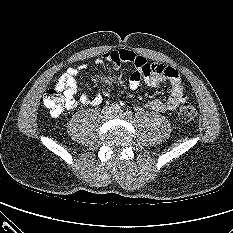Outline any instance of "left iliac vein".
I'll list each match as a JSON object with an SVG mask.
<instances>
[{"mask_svg": "<svg viewBox=\"0 0 233 233\" xmlns=\"http://www.w3.org/2000/svg\"><path fill=\"white\" fill-rule=\"evenodd\" d=\"M114 115L116 117H118V118H123L125 116L124 113H123V111H119V112L115 113Z\"/></svg>", "mask_w": 233, "mask_h": 233, "instance_id": "4c4485c4", "label": "left iliac vein"}]
</instances>
